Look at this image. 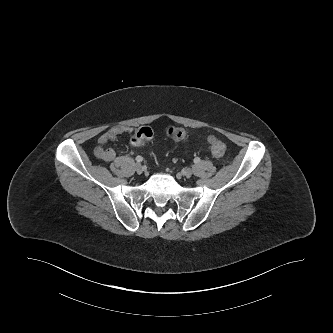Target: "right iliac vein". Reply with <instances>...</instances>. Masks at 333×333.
<instances>
[{"mask_svg": "<svg viewBox=\"0 0 333 333\" xmlns=\"http://www.w3.org/2000/svg\"><path fill=\"white\" fill-rule=\"evenodd\" d=\"M135 168L138 174H141L143 172V166L140 163H137Z\"/></svg>", "mask_w": 333, "mask_h": 333, "instance_id": "1", "label": "right iliac vein"}]
</instances>
